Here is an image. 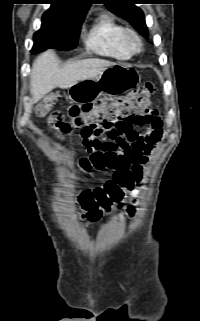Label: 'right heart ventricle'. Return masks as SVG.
<instances>
[{"label": "right heart ventricle", "instance_id": "1", "mask_svg": "<svg viewBox=\"0 0 200 321\" xmlns=\"http://www.w3.org/2000/svg\"><path fill=\"white\" fill-rule=\"evenodd\" d=\"M126 28L112 15L101 14L92 24L85 37L87 48L93 52L117 60H127L131 54L122 44Z\"/></svg>", "mask_w": 200, "mask_h": 321}]
</instances>
